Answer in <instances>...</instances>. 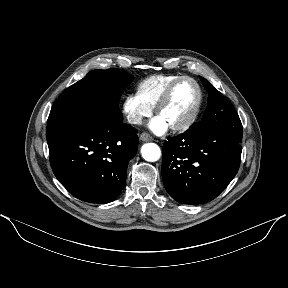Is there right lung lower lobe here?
<instances>
[{
    "label": "right lung lower lobe",
    "mask_w": 288,
    "mask_h": 288,
    "mask_svg": "<svg viewBox=\"0 0 288 288\" xmlns=\"http://www.w3.org/2000/svg\"><path fill=\"white\" fill-rule=\"evenodd\" d=\"M136 133L99 98L72 102L49 115L47 121L53 173L80 200L114 201L122 193L128 163L138 149Z\"/></svg>",
    "instance_id": "right-lung-lower-lobe-1"
}]
</instances>
